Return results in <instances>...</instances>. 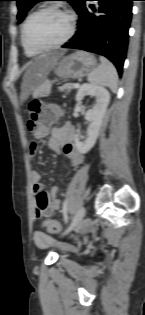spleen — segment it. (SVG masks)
<instances>
[{
  "instance_id": "obj_1",
  "label": "spleen",
  "mask_w": 145,
  "mask_h": 315,
  "mask_svg": "<svg viewBox=\"0 0 145 315\" xmlns=\"http://www.w3.org/2000/svg\"><path fill=\"white\" fill-rule=\"evenodd\" d=\"M101 64L88 75V81L97 86L108 87L112 92L118 88V74L115 66L105 57H100Z\"/></svg>"
}]
</instances>
